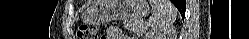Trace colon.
Segmentation results:
<instances>
[{
	"label": "colon",
	"instance_id": "1",
	"mask_svg": "<svg viewBox=\"0 0 249 39\" xmlns=\"http://www.w3.org/2000/svg\"><path fill=\"white\" fill-rule=\"evenodd\" d=\"M77 36L79 39H95L96 31L86 24H82L77 29Z\"/></svg>",
	"mask_w": 249,
	"mask_h": 39
}]
</instances>
